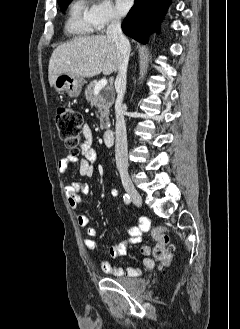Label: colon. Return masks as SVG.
<instances>
[{"label":"colon","instance_id":"colon-1","mask_svg":"<svg viewBox=\"0 0 240 329\" xmlns=\"http://www.w3.org/2000/svg\"><path fill=\"white\" fill-rule=\"evenodd\" d=\"M55 119L59 135L66 147L77 154L83 126L82 115L74 109L61 106L56 109ZM151 234L156 241L154 257L159 261L160 266L165 268L173 258V249L169 246L168 229L164 226H157L152 229Z\"/></svg>","mask_w":240,"mask_h":329}]
</instances>
